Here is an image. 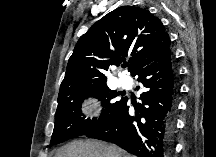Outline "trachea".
I'll return each mask as SVG.
<instances>
[{
	"mask_svg": "<svg viewBox=\"0 0 216 157\" xmlns=\"http://www.w3.org/2000/svg\"><path fill=\"white\" fill-rule=\"evenodd\" d=\"M127 66H128V64H127V63H124V64H123V67H127Z\"/></svg>",
	"mask_w": 216,
	"mask_h": 157,
	"instance_id": "3493384b",
	"label": "trachea"
}]
</instances>
